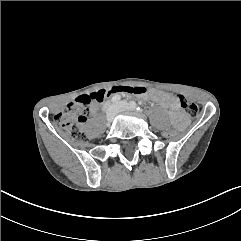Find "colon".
Returning a JSON list of instances; mask_svg holds the SVG:
<instances>
[{
	"instance_id": "colon-1",
	"label": "colon",
	"mask_w": 241,
	"mask_h": 241,
	"mask_svg": "<svg viewBox=\"0 0 241 241\" xmlns=\"http://www.w3.org/2000/svg\"><path fill=\"white\" fill-rule=\"evenodd\" d=\"M135 94L143 95L147 92L145 87L141 86H118L112 88L101 89L89 95L78 97L71 102L65 111L59 112L55 115V120L59 124L63 132L70 135L73 139L83 141L86 139L84 132V122L86 120V108L93 102H100L104 98L113 93ZM181 110L190 118H195L198 115V107L195 103L188 100L183 95L175 96ZM159 136L165 140H171L177 136L175 129H161Z\"/></svg>"
}]
</instances>
